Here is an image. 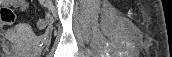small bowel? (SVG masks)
I'll return each instance as SVG.
<instances>
[{
    "instance_id": "c3829d8e",
    "label": "small bowel",
    "mask_w": 172,
    "mask_h": 57,
    "mask_svg": "<svg viewBox=\"0 0 172 57\" xmlns=\"http://www.w3.org/2000/svg\"><path fill=\"white\" fill-rule=\"evenodd\" d=\"M15 5H21V6H24L25 5V1L23 0H16L14 1Z\"/></svg>"
}]
</instances>
